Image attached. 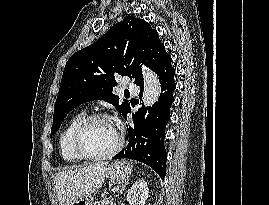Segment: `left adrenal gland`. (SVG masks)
Listing matches in <instances>:
<instances>
[{"label": "left adrenal gland", "mask_w": 269, "mask_h": 205, "mask_svg": "<svg viewBox=\"0 0 269 205\" xmlns=\"http://www.w3.org/2000/svg\"><path fill=\"white\" fill-rule=\"evenodd\" d=\"M127 184H128V181L125 182V184L122 185V188L119 191L120 193H122V191L125 189V187H126Z\"/></svg>", "instance_id": "a2214340"}]
</instances>
